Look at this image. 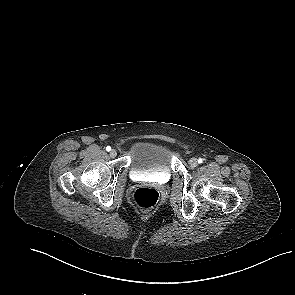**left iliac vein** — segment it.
Instances as JSON below:
<instances>
[{"mask_svg": "<svg viewBox=\"0 0 295 295\" xmlns=\"http://www.w3.org/2000/svg\"><path fill=\"white\" fill-rule=\"evenodd\" d=\"M189 165L192 167V168H195L197 165H198V160L196 158H191L189 160Z\"/></svg>", "mask_w": 295, "mask_h": 295, "instance_id": "left-iliac-vein-1", "label": "left iliac vein"}]
</instances>
